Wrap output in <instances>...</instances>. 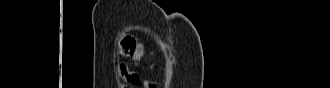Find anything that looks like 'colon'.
<instances>
[{
    "label": "colon",
    "instance_id": "colon-1",
    "mask_svg": "<svg viewBox=\"0 0 330 88\" xmlns=\"http://www.w3.org/2000/svg\"><path fill=\"white\" fill-rule=\"evenodd\" d=\"M135 49V40L131 36H127L123 39L122 50L125 55H130Z\"/></svg>",
    "mask_w": 330,
    "mask_h": 88
}]
</instances>
